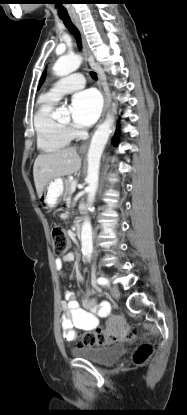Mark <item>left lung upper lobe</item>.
Returning a JSON list of instances; mask_svg holds the SVG:
<instances>
[{"instance_id":"1","label":"left lung upper lobe","mask_w":187,"mask_h":415,"mask_svg":"<svg viewBox=\"0 0 187 415\" xmlns=\"http://www.w3.org/2000/svg\"><path fill=\"white\" fill-rule=\"evenodd\" d=\"M43 79H44V73L42 74V77H41V79H40V83H39V86L42 84V82H43Z\"/></svg>"}]
</instances>
